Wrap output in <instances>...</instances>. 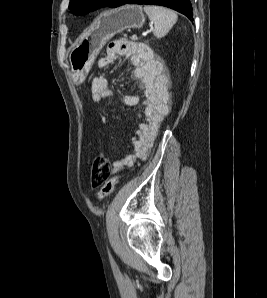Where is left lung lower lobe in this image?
<instances>
[{
    "instance_id": "0a47b994",
    "label": "left lung lower lobe",
    "mask_w": 267,
    "mask_h": 298,
    "mask_svg": "<svg viewBox=\"0 0 267 298\" xmlns=\"http://www.w3.org/2000/svg\"><path fill=\"white\" fill-rule=\"evenodd\" d=\"M125 4L161 5L174 9L186 15L189 19L193 16L190 0H121L118 2V6Z\"/></svg>"
}]
</instances>
